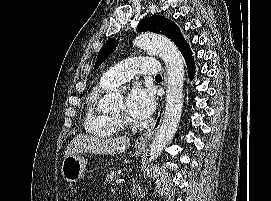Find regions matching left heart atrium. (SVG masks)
<instances>
[{
	"label": "left heart atrium",
	"instance_id": "left-heart-atrium-1",
	"mask_svg": "<svg viewBox=\"0 0 271 201\" xmlns=\"http://www.w3.org/2000/svg\"><path fill=\"white\" fill-rule=\"evenodd\" d=\"M156 108V99L150 87L134 85L126 98L125 109L136 119H145L153 114Z\"/></svg>",
	"mask_w": 271,
	"mask_h": 201
}]
</instances>
